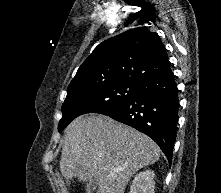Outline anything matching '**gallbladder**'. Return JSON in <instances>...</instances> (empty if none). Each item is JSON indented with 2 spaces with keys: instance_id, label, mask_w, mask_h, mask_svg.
I'll return each instance as SVG.
<instances>
[{
  "instance_id": "obj_1",
  "label": "gallbladder",
  "mask_w": 221,
  "mask_h": 193,
  "mask_svg": "<svg viewBox=\"0 0 221 193\" xmlns=\"http://www.w3.org/2000/svg\"><path fill=\"white\" fill-rule=\"evenodd\" d=\"M96 186H97V180L93 179L91 182L88 183L87 188L90 190V193H94Z\"/></svg>"
}]
</instances>
